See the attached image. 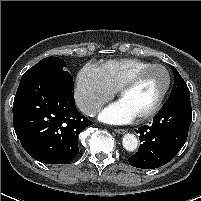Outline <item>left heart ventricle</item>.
<instances>
[{
    "instance_id": "left-heart-ventricle-1",
    "label": "left heart ventricle",
    "mask_w": 201,
    "mask_h": 201,
    "mask_svg": "<svg viewBox=\"0 0 201 201\" xmlns=\"http://www.w3.org/2000/svg\"><path fill=\"white\" fill-rule=\"evenodd\" d=\"M165 82L164 71L155 68L128 89L120 101L136 117L148 111L155 104L165 86Z\"/></svg>"
}]
</instances>
